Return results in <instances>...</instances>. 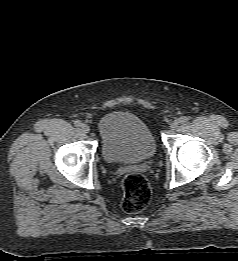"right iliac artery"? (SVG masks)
I'll use <instances>...</instances> for the list:
<instances>
[{
  "label": "right iliac artery",
  "mask_w": 238,
  "mask_h": 261,
  "mask_svg": "<svg viewBox=\"0 0 238 261\" xmlns=\"http://www.w3.org/2000/svg\"><path fill=\"white\" fill-rule=\"evenodd\" d=\"M74 125H75L76 127H80V126L82 125V123H81L80 120H76V121H74Z\"/></svg>",
  "instance_id": "1"
}]
</instances>
